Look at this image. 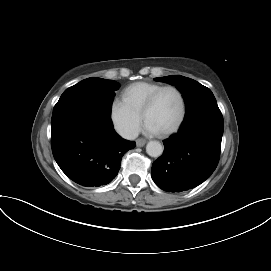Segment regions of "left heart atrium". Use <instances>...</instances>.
Returning a JSON list of instances; mask_svg holds the SVG:
<instances>
[{
    "label": "left heart atrium",
    "instance_id": "obj_1",
    "mask_svg": "<svg viewBox=\"0 0 271 271\" xmlns=\"http://www.w3.org/2000/svg\"><path fill=\"white\" fill-rule=\"evenodd\" d=\"M144 130L146 133L153 134V135L160 133L155 126H153L151 123H149L147 121L145 123Z\"/></svg>",
    "mask_w": 271,
    "mask_h": 271
}]
</instances>
